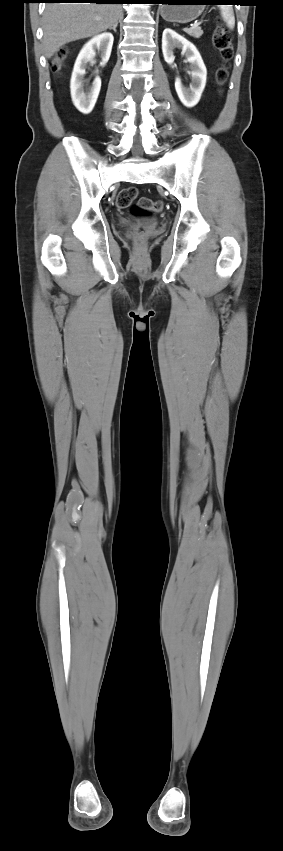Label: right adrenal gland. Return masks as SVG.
Segmentation results:
<instances>
[{"label":"right adrenal gland","instance_id":"2a0ac1e0","mask_svg":"<svg viewBox=\"0 0 283 851\" xmlns=\"http://www.w3.org/2000/svg\"><path fill=\"white\" fill-rule=\"evenodd\" d=\"M117 25H118V23H116L112 28H110V30H113L116 33L117 32V30H116Z\"/></svg>","mask_w":283,"mask_h":851}]
</instances>
